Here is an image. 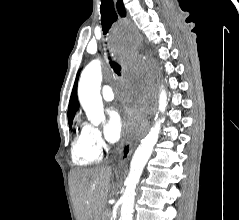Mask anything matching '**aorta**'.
Here are the masks:
<instances>
[{
  "mask_svg": "<svg viewBox=\"0 0 239 220\" xmlns=\"http://www.w3.org/2000/svg\"><path fill=\"white\" fill-rule=\"evenodd\" d=\"M115 40H136V33H116ZM118 46H135V45H116ZM102 81L101 62L93 60L82 72L79 86L78 98L93 125H99L104 119V109L102 97L100 94V86ZM167 107V95L165 90H161L159 94L158 110L164 112ZM164 118H156L154 125L149 133L141 140L137 147L131 163L129 174L125 180V191L121 197V214L119 220H132L134 209V201L136 196V186L140 181L143 169L149 160L153 148L158 141L161 124Z\"/></svg>",
  "mask_w": 239,
  "mask_h": 220,
  "instance_id": "762f6f07",
  "label": "aorta"
}]
</instances>
